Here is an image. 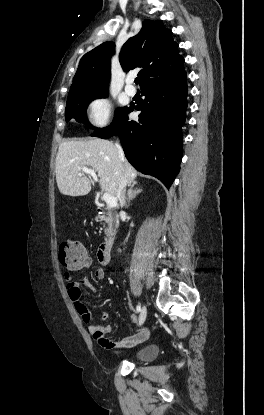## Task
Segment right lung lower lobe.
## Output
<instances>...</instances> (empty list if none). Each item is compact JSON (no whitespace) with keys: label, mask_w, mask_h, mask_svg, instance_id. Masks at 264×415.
Wrapping results in <instances>:
<instances>
[{"label":"right lung lower lobe","mask_w":264,"mask_h":415,"mask_svg":"<svg viewBox=\"0 0 264 415\" xmlns=\"http://www.w3.org/2000/svg\"><path fill=\"white\" fill-rule=\"evenodd\" d=\"M187 74H180L141 88L145 100L135 108L130 105L118 114L111 125L95 128L91 136L108 139L117 134L128 161L140 172L158 178L170 187L180 170L183 134L187 109ZM141 110L138 121L127 114Z\"/></svg>","instance_id":"right-lung-lower-lobe-1"}]
</instances>
